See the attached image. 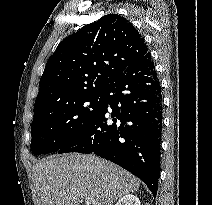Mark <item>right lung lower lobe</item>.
<instances>
[{
  "label": "right lung lower lobe",
  "instance_id": "1",
  "mask_svg": "<svg viewBox=\"0 0 212 205\" xmlns=\"http://www.w3.org/2000/svg\"><path fill=\"white\" fill-rule=\"evenodd\" d=\"M102 95L100 113L57 152L94 153L110 160L140 178L155 197L160 177L162 95L150 52L110 81ZM108 105L112 111L107 110Z\"/></svg>",
  "mask_w": 212,
  "mask_h": 205
}]
</instances>
